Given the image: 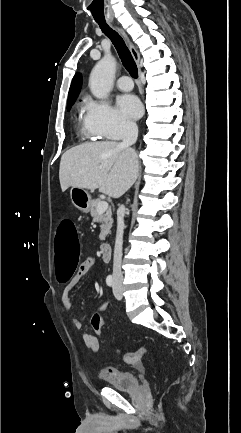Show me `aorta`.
<instances>
[{"mask_svg":"<svg viewBox=\"0 0 241 433\" xmlns=\"http://www.w3.org/2000/svg\"><path fill=\"white\" fill-rule=\"evenodd\" d=\"M116 71V60L111 55H105L93 68L89 87L94 97L104 99L110 93Z\"/></svg>","mask_w":241,"mask_h":433,"instance_id":"1","label":"aorta"}]
</instances>
